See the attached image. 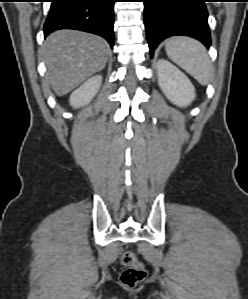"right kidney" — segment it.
I'll return each instance as SVG.
<instances>
[{
    "instance_id": "1",
    "label": "right kidney",
    "mask_w": 248,
    "mask_h": 299,
    "mask_svg": "<svg viewBox=\"0 0 248 299\" xmlns=\"http://www.w3.org/2000/svg\"><path fill=\"white\" fill-rule=\"evenodd\" d=\"M102 83V76L96 75L85 81L71 95L69 102L74 108L88 105L98 93Z\"/></svg>"
}]
</instances>
